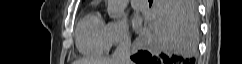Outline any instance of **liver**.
<instances>
[{
  "mask_svg": "<svg viewBox=\"0 0 242 64\" xmlns=\"http://www.w3.org/2000/svg\"><path fill=\"white\" fill-rule=\"evenodd\" d=\"M175 31L191 32L195 38L197 35V27L191 29L186 23H181L180 29ZM73 64H115V61L112 58L79 59Z\"/></svg>",
  "mask_w": 242,
  "mask_h": 64,
  "instance_id": "6515ba94",
  "label": "liver"
}]
</instances>
